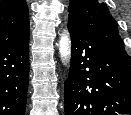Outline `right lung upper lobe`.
Returning <instances> with one entry per match:
<instances>
[{"label": "right lung upper lobe", "mask_w": 131, "mask_h": 115, "mask_svg": "<svg viewBox=\"0 0 131 115\" xmlns=\"http://www.w3.org/2000/svg\"><path fill=\"white\" fill-rule=\"evenodd\" d=\"M29 36L28 7L25 0L0 1V49Z\"/></svg>", "instance_id": "right-lung-upper-lobe-1"}]
</instances>
